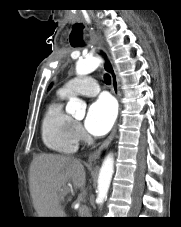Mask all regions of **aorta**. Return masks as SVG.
Listing matches in <instances>:
<instances>
[{"label":"aorta","instance_id":"aorta-1","mask_svg":"<svg viewBox=\"0 0 181 227\" xmlns=\"http://www.w3.org/2000/svg\"><path fill=\"white\" fill-rule=\"evenodd\" d=\"M100 63L101 60L98 57H89L79 60L76 63V73L80 76L87 75L96 70ZM66 111L74 117H83L86 111V103L76 97H71L66 106ZM113 172L114 158L110 153L104 159L98 176L96 200L100 205H102L107 198Z\"/></svg>","mask_w":181,"mask_h":227}]
</instances>
